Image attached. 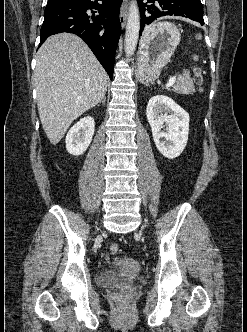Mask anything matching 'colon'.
Here are the masks:
<instances>
[{"label": "colon", "mask_w": 247, "mask_h": 332, "mask_svg": "<svg viewBox=\"0 0 247 332\" xmlns=\"http://www.w3.org/2000/svg\"><path fill=\"white\" fill-rule=\"evenodd\" d=\"M194 78H195V81L197 84H199V85L202 84L203 74H202V69L199 66L195 67V69H194ZM110 251L112 254H118L121 251L120 246L118 244L114 243L110 246Z\"/></svg>", "instance_id": "obj_1"}]
</instances>
